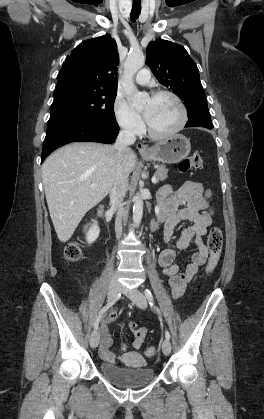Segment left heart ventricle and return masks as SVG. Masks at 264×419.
Segmentation results:
<instances>
[{
  "label": "left heart ventricle",
  "instance_id": "left-heart-ventricle-1",
  "mask_svg": "<svg viewBox=\"0 0 264 419\" xmlns=\"http://www.w3.org/2000/svg\"><path fill=\"white\" fill-rule=\"evenodd\" d=\"M143 111L149 113L148 124L158 133L173 129L180 120V111L175 101L167 96L149 99Z\"/></svg>",
  "mask_w": 264,
  "mask_h": 419
}]
</instances>
